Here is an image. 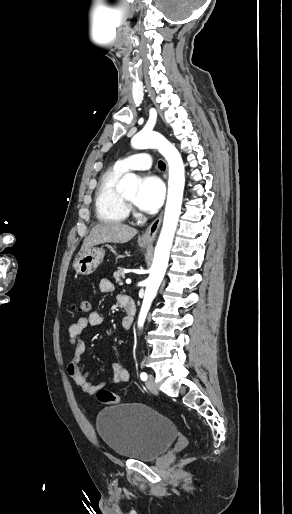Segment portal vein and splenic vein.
<instances>
[{"instance_id":"18ae733b","label":"portal vein and splenic vein","mask_w":292,"mask_h":514,"mask_svg":"<svg viewBox=\"0 0 292 514\" xmlns=\"http://www.w3.org/2000/svg\"><path fill=\"white\" fill-rule=\"evenodd\" d=\"M126 284H131V280H126Z\"/></svg>"}]
</instances>
